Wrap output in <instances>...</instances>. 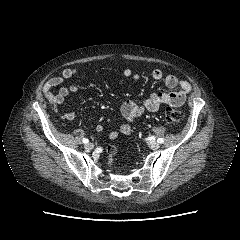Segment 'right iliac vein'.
<instances>
[{
  "label": "right iliac vein",
  "mask_w": 240,
  "mask_h": 240,
  "mask_svg": "<svg viewBox=\"0 0 240 240\" xmlns=\"http://www.w3.org/2000/svg\"><path fill=\"white\" fill-rule=\"evenodd\" d=\"M85 148L87 150H92L94 148V145L92 143H87V144H85Z\"/></svg>",
  "instance_id": "obj_1"
}]
</instances>
